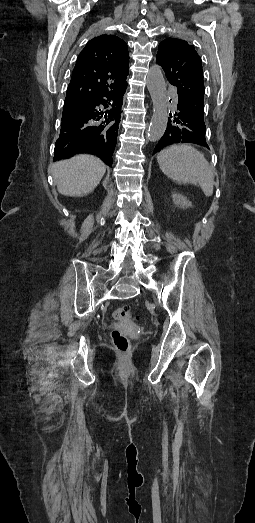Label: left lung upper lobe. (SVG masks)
<instances>
[{
  "label": "left lung upper lobe",
  "mask_w": 255,
  "mask_h": 523,
  "mask_svg": "<svg viewBox=\"0 0 255 523\" xmlns=\"http://www.w3.org/2000/svg\"><path fill=\"white\" fill-rule=\"evenodd\" d=\"M156 61L164 69L167 80L177 87L178 103L203 121L206 115L202 61L194 46L181 39L167 38L159 44Z\"/></svg>",
  "instance_id": "left-lung-upper-lobe-1"
}]
</instances>
